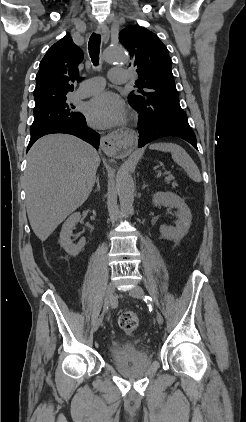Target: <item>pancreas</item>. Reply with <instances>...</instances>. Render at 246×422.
Returning a JSON list of instances; mask_svg holds the SVG:
<instances>
[{
    "label": "pancreas",
    "instance_id": "1",
    "mask_svg": "<svg viewBox=\"0 0 246 422\" xmlns=\"http://www.w3.org/2000/svg\"><path fill=\"white\" fill-rule=\"evenodd\" d=\"M173 176L172 175H170V176H168V177H166L165 178V181L167 182V183H169L171 180H173Z\"/></svg>",
    "mask_w": 246,
    "mask_h": 422
}]
</instances>
